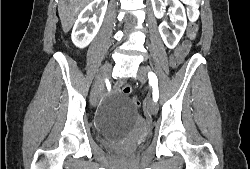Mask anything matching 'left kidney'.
<instances>
[{
    "label": "left kidney",
    "instance_id": "left-kidney-1",
    "mask_svg": "<svg viewBox=\"0 0 250 169\" xmlns=\"http://www.w3.org/2000/svg\"><path fill=\"white\" fill-rule=\"evenodd\" d=\"M154 14L156 18H162L165 12V6L163 0H151ZM171 4L172 10V18L175 24V30H173L172 36L168 34L166 28H169L166 20H163L161 24H159V32L162 36V40H164L166 46L168 48H174L176 44H178L182 34H184V30L187 26V18L185 14V8L183 4H181L180 0H166Z\"/></svg>",
    "mask_w": 250,
    "mask_h": 169
}]
</instances>
